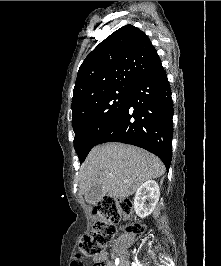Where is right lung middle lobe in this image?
I'll return each instance as SVG.
<instances>
[{
  "mask_svg": "<svg viewBox=\"0 0 221 266\" xmlns=\"http://www.w3.org/2000/svg\"><path fill=\"white\" fill-rule=\"evenodd\" d=\"M131 87H118L87 98L73 115L74 148L83 162L102 132L123 110Z\"/></svg>",
  "mask_w": 221,
  "mask_h": 266,
  "instance_id": "1",
  "label": "right lung middle lobe"
}]
</instances>
